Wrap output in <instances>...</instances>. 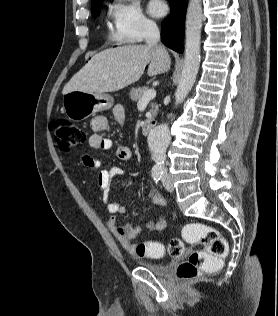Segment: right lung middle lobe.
Instances as JSON below:
<instances>
[{
	"label": "right lung middle lobe",
	"instance_id": "obj_1",
	"mask_svg": "<svg viewBox=\"0 0 278 316\" xmlns=\"http://www.w3.org/2000/svg\"><path fill=\"white\" fill-rule=\"evenodd\" d=\"M101 7H102V1L92 7V14L94 17H97L99 15Z\"/></svg>",
	"mask_w": 278,
	"mask_h": 316
}]
</instances>
